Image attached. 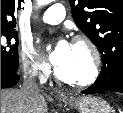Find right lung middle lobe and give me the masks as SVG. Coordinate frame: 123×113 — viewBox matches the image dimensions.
Returning a JSON list of instances; mask_svg holds the SVG:
<instances>
[{
	"label": "right lung middle lobe",
	"instance_id": "right-lung-middle-lobe-1",
	"mask_svg": "<svg viewBox=\"0 0 123 113\" xmlns=\"http://www.w3.org/2000/svg\"><path fill=\"white\" fill-rule=\"evenodd\" d=\"M18 35L14 28L1 29V72L17 73Z\"/></svg>",
	"mask_w": 123,
	"mask_h": 113
}]
</instances>
